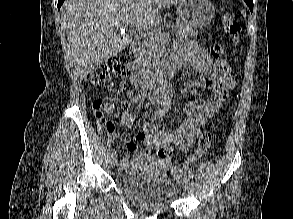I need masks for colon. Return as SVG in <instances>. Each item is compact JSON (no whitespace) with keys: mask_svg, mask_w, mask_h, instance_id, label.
Wrapping results in <instances>:
<instances>
[{"mask_svg":"<svg viewBox=\"0 0 293 219\" xmlns=\"http://www.w3.org/2000/svg\"><path fill=\"white\" fill-rule=\"evenodd\" d=\"M222 27L224 33L230 37L233 42L237 43L241 35V27L236 19L226 14L222 17ZM211 54L216 61V67L222 74H230V66L227 59L224 57L225 47L221 44H215L211 47ZM133 55H122L111 59L105 64L102 69L91 77V82L95 85L106 82L111 75L120 78L126 77L130 72V66L133 61ZM114 111V105L111 102L104 100H96L93 103V112L100 129L112 132L114 124L106 114ZM212 142V135L210 132L201 134L198 140V147L195 153L191 156L190 162H195L201 158L210 148ZM173 155V149L170 146L161 147L157 156L159 160L164 163H169Z\"/></svg>","mask_w":293,"mask_h":219,"instance_id":"colon-1","label":"colon"}]
</instances>
